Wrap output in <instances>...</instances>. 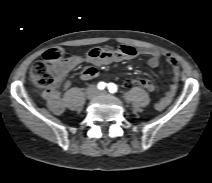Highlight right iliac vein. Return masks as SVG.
<instances>
[{"label":"right iliac vein","instance_id":"63e3f726","mask_svg":"<svg viewBox=\"0 0 212 183\" xmlns=\"http://www.w3.org/2000/svg\"><path fill=\"white\" fill-rule=\"evenodd\" d=\"M94 96H95L94 94H91V95H90V97H94Z\"/></svg>","mask_w":212,"mask_h":183}]
</instances>
